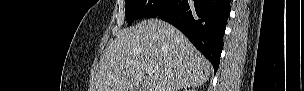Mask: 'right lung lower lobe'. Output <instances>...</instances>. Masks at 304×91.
<instances>
[{
	"instance_id": "obj_1",
	"label": "right lung lower lobe",
	"mask_w": 304,
	"mask_h": 91,
	"mask_svg": "<svg viewBox=\"0 0 304 91\" xmlns=\"http://www.w3.org/2000/svg\"><path fill=\"white\" fill-rule=\"evenodd\" d=\"M230 0H170L158 17L177 27L217 71Z\"/></svg>"
}]
</instances>
